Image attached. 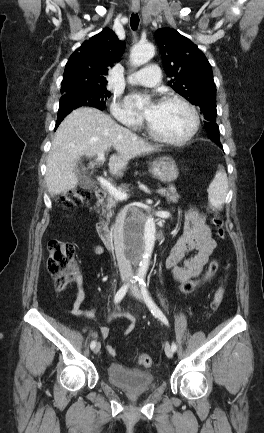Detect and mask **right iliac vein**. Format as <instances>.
I'll list each match as a JSON object with an SVG mask.
<instances>
[{
    "label": "right iliac vein",
    "mask_w": 264,
    "mask_h": 433,
    "mask_svg": "<svg viewBox=\"0 0 264 433\" xmlns=\"http://www.w3.org/2000/svg\"><path fill=\"white\" fill-rule=\"evenodd\" d=\"M122 281L125 282L126 279L123 278ZM100 349H101V344H100V342H98L93 349L94 354H98Z\"/></svg>",
    "instance_id": "right-iliac-vein-1"
}]
</instances>
